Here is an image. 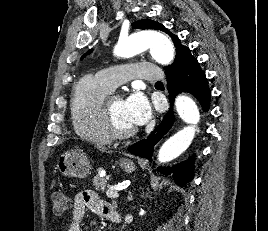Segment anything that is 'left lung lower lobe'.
<instances>
[{"label": "left lung lower lobe", "instance_id": "1", "mask_svg": "<svg viewBox=\"0 0 268 231\" xmlns=\"http://www.w3.org/2000/svg\"><path fill=\"white\" fill-rule=\"evenodd\" d=\"M167 89L170 99V110L165 115L161 124L146 139H143L128 148L134 155L152 161L154 145L170 130L174 123L173 103L175 96L180 92H188L194 95L200 102L204 111L209 109L211 92L207 84L205 73L202 71L198 60L191 57L179 69L167 72ZM194 169V157L179 163L172 168H158L165 175L173 174V178L179 186H184L192 180Z\"/></svg>", "mask_w": 268, "mask_h": 231}]
</instances>
